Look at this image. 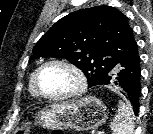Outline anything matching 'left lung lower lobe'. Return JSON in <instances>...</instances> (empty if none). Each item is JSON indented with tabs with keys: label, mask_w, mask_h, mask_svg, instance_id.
<instances>
[{
	"label": "left lung lower lobe",
	"mask_w": 153,
	"mask_h": 134,
	"mask_svg": "<svg viewBox=\"0 0 153 134\" xmlns=\"http://www.w3.org/2000/svg\"><path fill=\"white\" fill-rule=\"evenodd\" d=\"M141 68L138 50L123 59L118 66L104 75L98 85L114 86L130 102L135 114L139 112Z\"/></svg>",
	"instance_id": "obj_1"
}]
</instances>
